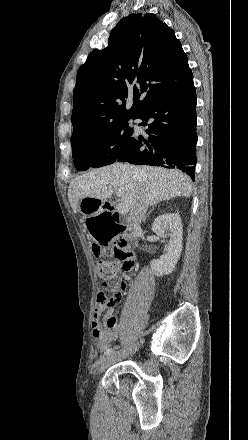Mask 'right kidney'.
Here are the masks:
<instances>
[{"label":"right kidney","mask_w":248,"mask_h":440,"mask_svg":"<svg viewBox=\"0 0 248 440\" xmlns=\"http://www.w3.org/2000/svg\"><path fill=\"white\" fill-rule=\"evenodd\" d=\"M152 231L162 239L170 236L168 244L165 245L166 253L150 264L153 274L161 277L174 271L182 252L183 228L180 215L166 213L158 216L153 222Z\"/></svg>","instance_id":"right-kidney-1"}]
</instances>
